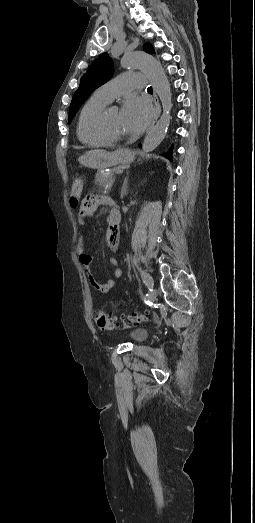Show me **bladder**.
I'll list each match as a JSON object with an SVG mask.
<instances>
[{
  "mask_svg": "<svg viewBox=\"0 0 255 523\" xmlns=\"http://www.w3.org/2000/svg\"><path fill=\"white\" fill-rule=\"evenodd\" d=\"M147 331L142 329H135L132 331L133 339L136 341L144 340L147 337Z\"/></svg>",
  "mask_w": 255,
  "mask_h": 523,
  "instance_id": "1",
  "label": "bladder"
}]
</instances>
